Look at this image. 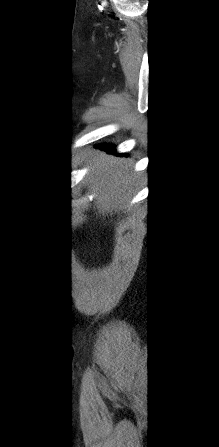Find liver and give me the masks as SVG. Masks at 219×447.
<instances>
[{
  "label": "liver",
  "mask_w": 219,
  "mask_h": 447,
  "mask_svg": "<svg viewBox=\"0 0 219 447\" xmlns=\"http://www.w3.org/2000/svg\"><path fill=\"white\" fill-rule=\"evenodd\" d=\"M87 164L92 160L87 158ZM130 160L112 158L100 163L88 172L87 186L98 192L99 212L105 213L117 209L129 201L137 187V176L131 172Z\"/></svg>",
  "instance_id": "liver-1"
}]
</instances>
